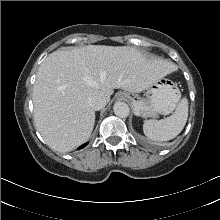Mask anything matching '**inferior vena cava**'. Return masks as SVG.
Listing matches in <instances>:
<instances>
[{
  "instance_id": "602c4592",
  "label": "inferior vena cava",
  "mask_w": 220,
  "mask_h": 220,
  "mask_svg": "<svg viewBox=\"0 0 220 220\" xmlns=\"http://www.w3.org/2000/svg\"><path fill=\"white\" fill-rule=\"evenodd\" d=\"M88 104L93 110H100L107 104V99L103 94L95 93L88 98Z\"/></svg>"
}]
</instances>
